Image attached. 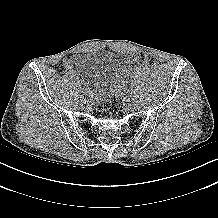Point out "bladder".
Wrapping results in <instances>:
<instances>
[{
  "instance_id": "1",
  "label": "bladder",
  "mask_w": 218,
  "mask_h": 218,
  "mask_svg": "<svg viewBox=\"0 0 218 218\" xmlns=\"http://www.w3.org/2000/svg\"><path fill=\"white\" fill-rule=\"evenodd\" d=\"M79 64L92 95L105 94L119 80V61L113 52L81 54Z\"/></svg>"
}]
</instances>
